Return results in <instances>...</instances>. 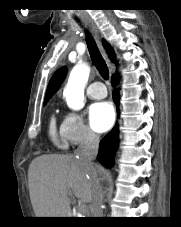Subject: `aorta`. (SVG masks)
Instances as JSON below:
<instances>
[{
    "mask_svg": "<svg viewBox=\"0 0 181 227\" xmlns=\"http://www.w3.org/2000/svg\"><path fill=\"white\" fill-rule=\"evenodd\" d=\"M90 67L84 62L76 64L70 72L68 82L63 91V97L72 110H81L84 105V89L88 82Z\"/></svg>",
    "mask_w": 181,
    "mask_h": 227,
    "instance_id": "aorta-1",
    "label": "aorta"
}]
</instances>
